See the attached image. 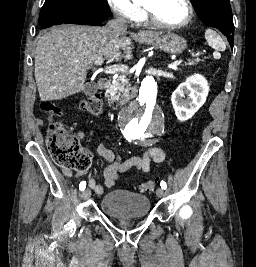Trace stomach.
Masks as SVG:
<instances>
[{
	"instance_id": "1",
	"label": "stomach",
	"mask_w": 256,
	"mask_h": 267,
	"mask_svg": "<svg viewBox=\"0 0 256 267\" xmlns=\"http://www.w3.org/2000/svg\"><path fill=\"white\" fill-rule=\"evenodd\" d=\"M144 40V38H142ZM148 44L151 46H158L163 52L167 54H182L187 48V42L181 36L172 34V32H157V36L148 38Z\"/></svg>"
}]
</instances>
